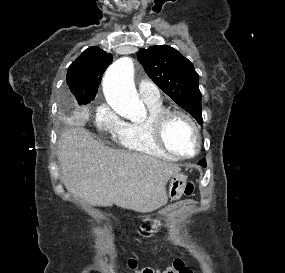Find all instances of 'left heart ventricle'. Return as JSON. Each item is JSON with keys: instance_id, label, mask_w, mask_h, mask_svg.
Listing matches in <instances>:
<instances>
[{"instance_id": "obj_1", "label": "left heart ventricle", "mask_w": 285, "mask_h": 273, "mask_svg": "<svg viewBox=\"0 0 285 273\" xmlns=\"http://www.w3.org/2000/svg\"><path fill=\"white\" fill-rule=\"evenodd\" d=\"M164 137L168 146L177 153L189 155L195 151V132L191 124L181 116H173L169 119Z\"/></svg>"}]
</instances>
